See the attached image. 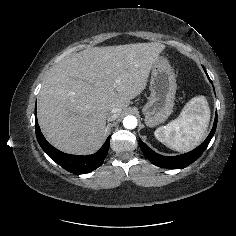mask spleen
<instances>
[{"label":"spleen","instance_id":"obj_1","mask_svg":"<svg viewBox=\"0 0 236 236\" xmlns=\"http://www.w3.org/2000/svg\"><path fill=\"white\" fill-rule=\"evenodd\" d=\"M210 120V109L203 96L186 103L179 117L155 130V138L176 151H190L203 139Z\"/></svg>","mask_w":236,"mask_h":236}]
</instances>
